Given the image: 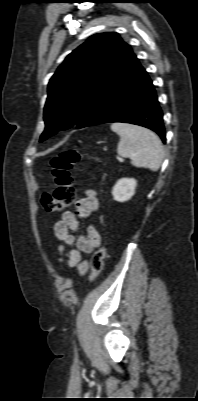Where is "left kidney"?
I'll return each instance as SVG.
<instances>
[{"label": "left kidney", "instance_id": "1", "mask_svg": "<svg viewBox=\"0 0 198 401\" xmlns=\"http://www.w3.org/2000/svg\"><path fill=\"white\" fill-rule=\"evenodd\" d=\"M137 181L133 178H122L117 181L112 189L114 200L125 202L135 194Z\"/></svg>", "mask_w": 198, "mask_h": 401}]
</instances>
